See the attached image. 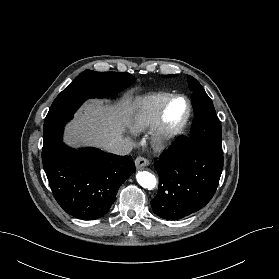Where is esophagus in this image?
<instances>
[{"instance_id": "obj_1", "label": "esophagus", "mask_w": 279, "mask_h": 279, "mask_svg": "<svg viewBox=\"0 0 279 279\" xmlns=\"http://www.w3.org/2000/svg\"><path fill=\"white\" fill-rule=\"evenodd\" d=\"M149 164V160L144 157L139 156L135 159V165L137 169H141L145 166H148Z\"/></svg>"}]
</instances>
